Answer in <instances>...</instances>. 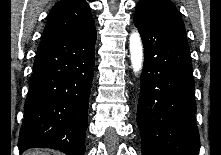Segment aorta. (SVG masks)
<instances>
[{
    "label": "aorta",
    "mask_w": 221,
    "mask_h": 155,
    "mask_svg": "<svg viewBox=\"0 0 221 155\" xmlns=\"http://www.w3.org/2000/svg\"><path fill=\"white\" fill-rule=\"evenodd\" d=\"M131 65L134 73H138L143 66V45L139 33L133 32L129 39Z\"/></svg>",
    "instance_id": "1"
}]
</instances>
